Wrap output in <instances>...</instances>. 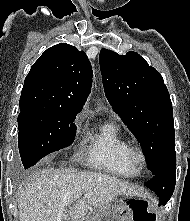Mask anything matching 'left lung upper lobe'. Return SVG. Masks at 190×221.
Here are the masks:
<instances>
[{
	"instance_id": "1",
	"label": "left lung upper lobe",
	"mask_w": 190,
	"mask_h": 221,
	"mask_svg": "<svg viewBox=\"0 0 190 221\" xmlns=\"http://www.w3.org/2000/svg\"><path fill=\"white\" fill-rule=\"evenodd\" d=\"M99 61L106 97L140 143L154 175L176 155L172 103L163 78L136 52L102 49Z\"/></svg>"
}]
</instances>
